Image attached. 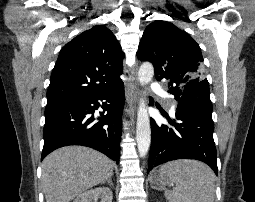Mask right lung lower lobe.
Wrapping results in <instances>:
<instances>
[{
  "mask_svg": "<svg viewBox=\"0 0 255 202\" xmlns=\"http://www.w3.org/2000/svg\"><path fill=\"white\" fill-rule=\"evenodd\" d=\"M123 82L113 89L46 106L41 160L57 148L84 145L119 163L124 106ZM101 107L99 122L94 110Z\"/></svg>",
  "mask_w": 255,
  "mask_h": 202,
  "instance_id": "1",
  "label": "right lung lower lobe"
}]
</instances>
